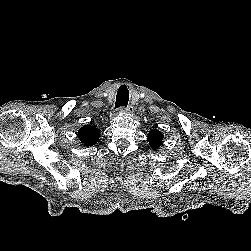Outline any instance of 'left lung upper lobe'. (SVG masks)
Listing matches in <instances>:
<instances>
[{"label": "left lung upper lobe", "instance_id": "5c2ea615", "mask_svg": "<svg viewBox=\"0 0 251 251\" xmlns=\"http://www.w3.org/2000/svg\"><path fill=\"white\" fill-rule=\"evenodd\" d=\"M163 134L158 130H153L148 134L147 141L153 150H157L161 145H163Z\"/></svg>", "mask_w": 251, "mask_h": 251}]
</instances>
